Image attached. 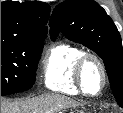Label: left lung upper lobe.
<instances>
[{
	"mask_svg": "<svg viewBox=\"0 0 123 113\" xmlns=\"http://www.w3.org/2000/svg\"><path fill=\"white\" fill-rule=\"evenodd\" d=\"M49 25L53 40L61 31L103 59L115 99L123 108L122 41L105 10L93 0H67L55 7Z\"/></svg>",
	"mask_w": 123,
	"mask_h": 113,
	"instance_id": "1",
	"label": "left lung upper lobe"
}]
</instances>
